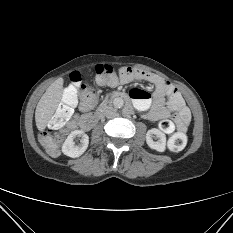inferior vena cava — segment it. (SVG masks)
<instances>
[{"instance_id": "inferior-vena-cava-1", "label": "inferior vena cava", "mask_w": 233, "mask_h": 233, "mask_svg": "<svg viewBox=\"0 0 233 233\" xmlns=\"http://www.w3.org/2000/svg\"><path fill=\"white\" fill-rule=\"evenodd\" d=\"M105 116L107 118H114L117 116V112L112 106H109L105 111Z\"/></svg>"}]
</instances>
